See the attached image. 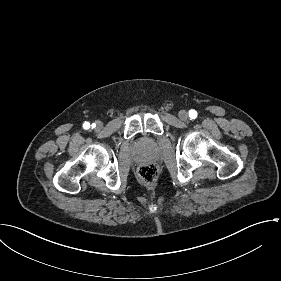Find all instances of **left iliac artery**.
<instances>
[{"instance_id": "44dca946", "label": "left iliac artery", "mask_w": 281, "mask_h": 281, "mask_svg": "<svg viewBox=\"0 0 281 281\" xmlns=\"http://www.w3.org/2000/svg\"><path fill=\"white\" fill-rule=\"evenodd\" d=\"M189 116L191 119H195L197 117V112L195 110H190Z\"/></svg>"}]
</instances>
